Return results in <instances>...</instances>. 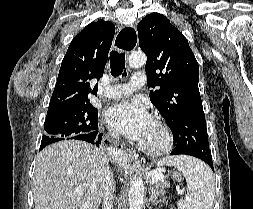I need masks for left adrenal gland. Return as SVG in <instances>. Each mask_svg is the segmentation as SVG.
Masks as SVG:
<instances>
[{
	"instance_id": "1",
	"label": "left adrenal gland",
	"mask_w": 253,
	"mask_h": 209,
	"mask_svg": "<svg viewBox=\"0 0 253 209\" xmlns=\"http://www.w3.org/2000/svg\"><path fill=\"white\" fill-rule=\"evenodd\" d=\"M158 195L159 194L154 189V187L150 186V188H149V204H150V202H152L153 205H157L159 202H162L163 200L161 198H160L159 201H157V196Z\"/></svg>"
}]
</instances>
